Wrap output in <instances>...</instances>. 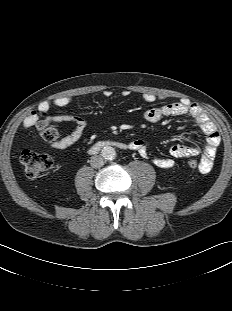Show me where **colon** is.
Here are the masks:
<instances>
[{"instance_id":"5ec220e1","label":"colon","mask_w":232,"mask_h":311,"mask_svg":"<svg viewBox=\"0 0 232 311\" xmlns=\"http://www.w3.org/2000/svg\"><path fill=\"white\" fill-rule=\"evenodd\" d=\"M37 130L39 136L45 142L54 143L58 140L57 131L46 123H39ZM20 160L27 177L30 179L39 177L44 172L50 170L53 165L52 158L48 154H40L28 149L22 152ZM187 165L191 169H197L199 167L198 160L194 155L188 157Z\"/></svg>"}]
</instances>
